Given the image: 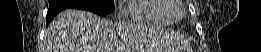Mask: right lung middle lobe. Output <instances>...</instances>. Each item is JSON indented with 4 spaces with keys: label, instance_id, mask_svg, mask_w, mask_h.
Listing matches in <instances>:
<instances>
[{
    "label": "right lung middle lobe",
    "instance_id": "1",
    "mask_svg": "<svg viewBox=\"0 0 261 52\" xmlns=\"http://www.w3.org/2000/svg\"><path fill=\"white\" fill-rule=\"evenodd\" d=\"M50 8H77L96 14H108L114 10L113 0H49Z\"/></svg>",
    "mask_w": 261,
    "mask_h": 52
}]
</instances>
